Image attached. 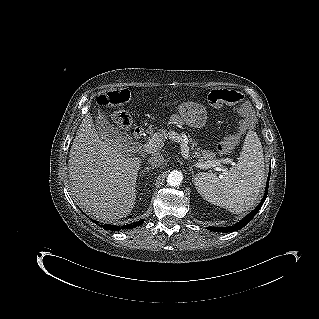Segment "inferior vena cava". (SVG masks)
<instances>
[{
	"mask_svg": "<svg viewBox=\"0 0 319 319\" xmlns=\"http://www.w3.org/2000/svg\"><path fill=\"white\" fill-rule=\"evenodd\" d=\"M148 163L152 167H159L164 163V157L160 153H154L151 157L148 158Z\"/></svg>",
	"mask_w": 319,
	"mask_h": 319,
	"instance_id": "1",
	"label": "inferior vena cava"
}]
</instances>
